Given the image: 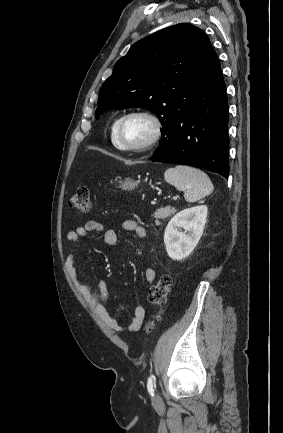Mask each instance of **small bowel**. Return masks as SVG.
Here are the masks:
<instances>
[{"label": "small bowel", "mask_w": 283, "mask_h": 433, "mask_svg": "<svg viewBox=\"0 0 283 433\" xmlns=\"http://www.w3.org/2000/svg\"><path fill=\"white\" fill-rule=\"evenodd\" d=\"M123 229L127 232H135L136 235L142 239L147 235L146 229L132 219L126 220L123 223ZM90 232H103L104 242L109 246H115L118 243L117 233L113 229H105L100 222L95 220L87 221L84 225L77 227L73 231H69L66 235V240L70 245L77 246L80 239L85 238ZM66 266L75 288L106 326L117 332H135L139 330L146 313L143 306H136L133 311V316L128 323L120 325L118 321L110 315L102 303L110 290L107 282L101 281L98 284V292L92 293L89 286L82 281L76 269L75 255L73 252L67 256ZM144 276L147 282L152 283L156 278V271L148 267L144 272Z\"/></svg>", "instance_id": "1"}]
</instances>
